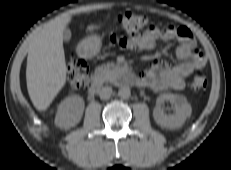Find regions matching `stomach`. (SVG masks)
I'll return each mask as SVG.
<instances>
[{
  "mask_svg": "<svg viewBox=\"0 0 231 170\" xmlns=\"http://www.w3.org/2000/svg\"><path fill=\"white\" fill-rule=\"evenodd\" d=\"M101 48V38L97 35H91L84 39L80 44V49L87 57L95 56Z\"/></svg>",
  "mask_w": 231,
  "mask_h": 170,
  "instance_id": "obj_1",
  "label": "stomach"
}]
</instances>
